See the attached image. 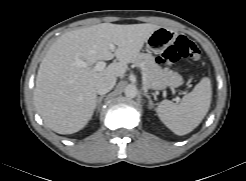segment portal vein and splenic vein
<instances>
[{
  "mask_svg": "<svg viewBox=\"0 0 246 181\" xmlns=\"http://www.w3.org/2000/svg\"><path fill=\"white\" fill-rule=\"evenodd\" d=\"M110 49L114 51L115 50V45L114 44H110ZM78 64L79 65H84V62L78 61ZM105 66H106V62H104V61H98L96 63V65H95V69L97 71H102L105 68ZM177 100H179V99L177 98Z\"/></svg>",
  "mask_w": 246,
  "mask_h": 181,
  "instance_id": "1",
  "label": "portal vein and splenic vein"
}]
</instances>
